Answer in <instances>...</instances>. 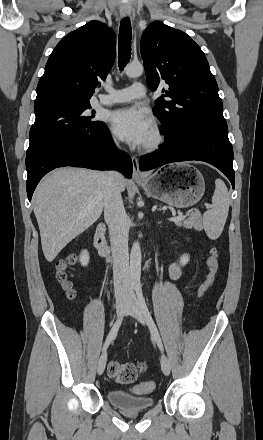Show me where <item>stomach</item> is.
Masks as SVG:
<instances>
[{"instance_id":"1","label":"stomach","mask_w":263,"mask_h":440,"mask_svg":"<svg viewBox=\"0 0 263 440\" xmlns=\"http://www.w3.org/2000/svg\"><path fill=\"white\" fill-rule=\"evenodd\" d=\"M168 169L156 172L138 183L149 196L168 205L186 208L196 204L205 191L202 174L190 165L170 166Z\"/></svg>"}]
</instances>
